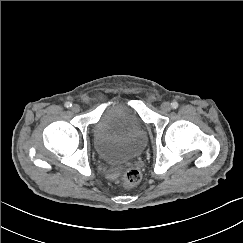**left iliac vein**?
Segmentation results:
<instances>
[{
    "mask_svg": "<svg viewBox=\"0 0 243 243\" xmlns=\"http://www.w3.org/2000/svg\"><path fill=\"white\" fill-rule=\"evenodd\" d=\"M161 110L164 112H169L171 110V105L169 102H164L161 105Z\"/></svg>",
    "mask_w": 243,
    "mask_h": 243,
    "instance_id": "4c4485c4",
    "label": "left iliac vein"
}]
</instances>
